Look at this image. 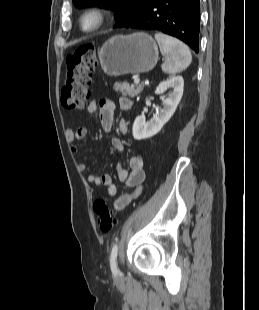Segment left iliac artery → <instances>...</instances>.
<instances>
[{"mask_svg": "<svg viewBox=\"0 0 259 310\" xmlns=\"http://www.w3.org/2000/svg\"><path fill=\"white\" fill-rule=\"evenodd\" d=\"M117 255H118V243H115L112 247L111 255H110V266L113 272H118L117 268Z\"/></svg>", "mask_w": 259, "mask_h": 310, "instance_id": "obj_1", "label": "left iliac artery"}]
</instances>
